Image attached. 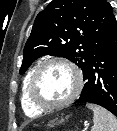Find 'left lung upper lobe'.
<instances>
[{
  "label": "left lung upper lobe",
  "mask_w": 117,
  "mask_h": 131,
  "mask_svg": "<svg viewBox=\"0 0 117 131\" xmlns=\"http://www.w3.org/2000/svg\"><path fill=\"white\" fill-rule=\"evenodd\" d=\"M113 14L106 0H53L33 24L19 73L39 57H64L84 72L104 42Z\"/></svg>",
  "instance_id": "1"
}]
</instances>
